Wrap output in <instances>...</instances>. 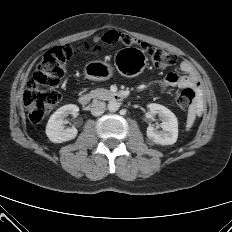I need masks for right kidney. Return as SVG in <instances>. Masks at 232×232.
Returning a JSON list of instances; mask_svg holds the SVG:
<instances>
[{
	"label": "right kidney",
	"instance_id": "ca27d5eb",
	"mask_svg": "<svg viewBox=\"0 0 232 232\" xmlns=\"http://www.w3.org/2000/svg\"><path fill=\"white\" fill-rule=\"evenodd\" d=\"M79 107L74 104H68L56 110L48 120L46 126V135L53 143H62L74 139L78 130L75 127L65 128L64 118L69 114L76 116Z\"/></svg>",
	"mask_w": 232,
	"mask_h": 232
}]
</instances>
